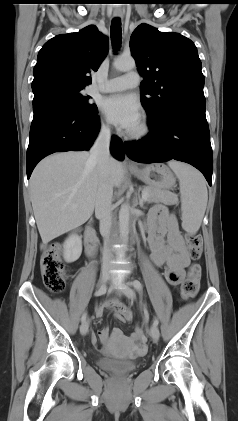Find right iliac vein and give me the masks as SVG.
I'll list each match as a JSON object with an SVG mask.
<instances>
[{
	"label": "right iliac vein",
	"instance_id": "right-iliac-vein-1",
	"mask_svg": "<svg viewBox=\"0 0 238 421\" xmlns=\"http://www.w3.org/2000/svg\"><path fill=\"white\" fill-rule=\"evenodd\" d=\"M109 277V271L108 268L104 267L101 271L100 275V285L103 286ZM89 323L87 320H85L81 326H80V332L82 335H86L88 333Z\"/></svg>",
	"mask_w": 238,
	"mask_h": 421
}]
</instances>
